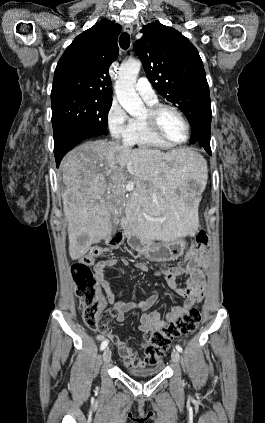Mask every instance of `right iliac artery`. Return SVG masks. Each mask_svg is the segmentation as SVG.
Listing matches in <instances>:
<instances>
[{
  "instance_id": "obj_1",
  "label": "right iliac artery",
  "mask_w": 265,
  "mask_h": 423,
  "mask_svg": "<svg viewBox=\"0 0 265 423\" xmlns=\"http://www.w3.org/2000/svg\"><path fill=\"white\" fill-rule=\"evenodd\" d=\"M107 345H108V341H107V340H104V341L101 343L100 349H101V350H104V349L107 347Z\"/></svg>"
}]
</instances>
